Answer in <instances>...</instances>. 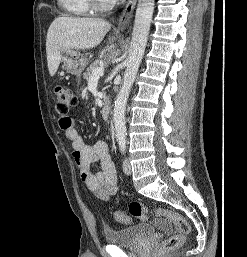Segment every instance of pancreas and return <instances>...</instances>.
Returning <instances> with one entry per match:
<instances>
[{"instance_id": "1", "label": "pancreas", "mask_w": 247, "mask_h": 257, "mask_svg": "<svg viewBox=\"0 0 247 257\" xmlns=\"http://www.w3.org/2000/svg\"><path fill=\"white\" fill-rule=\"evenodd\" d=\"M101 64L99 61H95L94 63L90 64L89 67H87L86 71L83 73V78L86 80H89L93 70L97 67H99Z\"/></svg>"}]
</instances>
